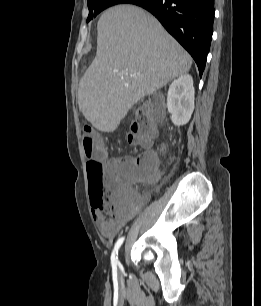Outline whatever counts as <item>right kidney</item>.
Returning <instances> with one entry per match:
<instances>
[{
  "label": "right kidney",
  "mask_w": 261,
  "mask_h": 306,
  "mask_svg": "<svg viewBox=\"0 0 261 306\" xmlns=\"http://www.w3.org/2000/svg\"><path fill=\"white\" fill-rule=\"evenodd\" d=\"M167 108L174 125L186 124L194 110L193 79L189 74L174 80L167 94Z\"/></svg>",
  "instance_id": "right-kidney-1"
}]
</instances>
